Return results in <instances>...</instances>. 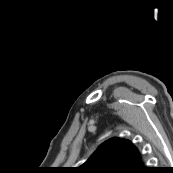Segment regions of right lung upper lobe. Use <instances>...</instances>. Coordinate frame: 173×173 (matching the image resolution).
Here are the masks:
<instances>
[{"mask_svg": "<svg viewBox=\"0 0 173 173\" xmlns=\"http://www.w3.org/2000/svg\"><path fill=\"white\" fill-rule=\"evenodd\" d=\"M140 162V154L130 141L111 138L76 171L77 173H127Z\"/></svg>", "mask_w": 173, "mask_h": 173, "instance_id": "obj_1", "label": "right lung upper lobe"}]
</instances>
